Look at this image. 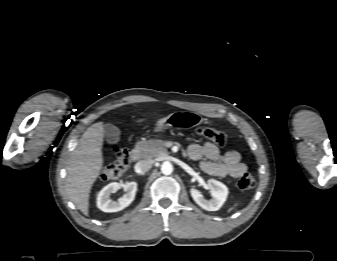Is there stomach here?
<instances>
[{
    "label": "stomach",
    "instance_id": "stomach-1",
    "mask_svg": "<svg viewBox=\"0 0 337 261\" xmlns=\"http://www.w3.org/2000/svg\"><path fill=\"white\" fill-rule=\"evenodd\" d=\"M203 123L201 115L190 111H177L157 121L154 131L163 132L166 129H190Z\"/></svg>",
    "mask_w": 337,
    "mask_h": 261
}]
</instances>
